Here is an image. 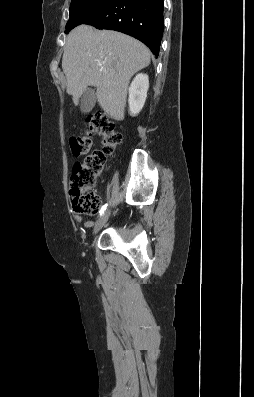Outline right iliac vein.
Listing matches in <instances>:
<instances>
[{"instance_id":"1","label":"right iliac vein","mask_w":254,"mask_h":397,"mask_svg":"<svg viewBox=\"0 0 254 397\" xmlns=\"http://www.w3.org/2000/svg\"><path fill=\"white\" fill-rule=\"evenodd\" d=\"M109 216H110V211L108 210L96 222V224L94 226L93 234H96V233H98L100 231V229L105 225V223L109 219Z\"/></svg>"}]
</instances>
